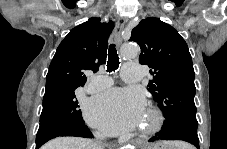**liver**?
<instances>
[{"label": "liver", "instance_id": "6515ba94", "mask_svg": "<svg viewBox=\"0 0 227 149\" xmlns=\"http://www.w3.org/2000/svg\"><path fill=\"white\" fill-rule=\"evenodd\" d=\"M41 149H101V146L89 139L58 137L46 143Z\"/></svg>", "mask_w": 227, "mask_h": 149}]
</instances>
